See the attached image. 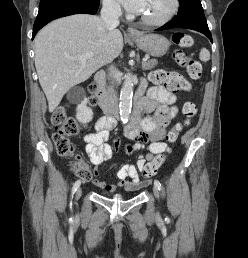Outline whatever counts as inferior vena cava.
Returning <instances> with one entry per match:
<instances>
[{
	"mask_svg": "<svg viewBox=\"0 0 248 258\" xmlns=\"http://www.w3.org/2000/svg\"><path fill=\"white\" fill-rule=\"evenodd\" d=\"M121 15L120 6L108 0L103 2L101 9V19L105 23L107 30H114L119 25ZM109 77L112 82L116 81L117 70L113 66L109 68Z\"/></svg>",
	"mask_w": 248,
	"mask_h": 258,
	"instance_id": "602c4592",
	"label": "inferior vena cava"
}]
</instances>
